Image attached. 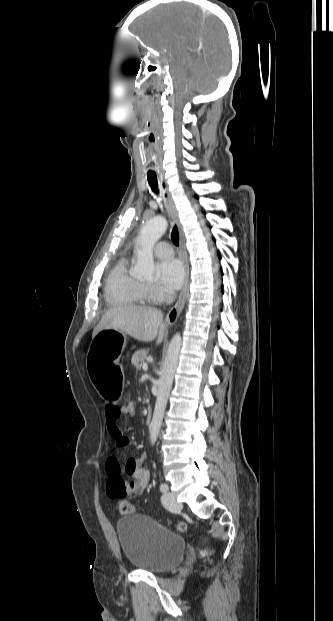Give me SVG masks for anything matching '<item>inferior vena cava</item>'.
<instances>
[{"label": "inferior vena cava", "mask_w": 333, "mask_h": 621, "mask_svg": "<svg viewBox=\"0 0 333 621\" xmlns=\"http://www.w3.org/2000/svg\"><path fill=\"white\" fill-rule=\"evenodd\" d=\"M175 298H176V293L175 292H169L167 294V298H166L167 299V304H172L174 302Z\"/></svg>", "instance_id": "602c4592"}]
</instances>
